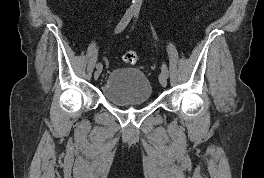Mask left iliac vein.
Instances as JSON below:
<instances>
[{"label": "left iliac vein", "instance_id": "1", "mask_svg": "<svg viewBox=\"0 0 264 178\" xmlns=\"http://www.w3.org/2000/svg\"><path fill=\"white\" fill-rule=\"evenodd\" d=\"M159 82L163 87L167 86V75L163 72L159 74Z\"/></svg>", "mask_w": 264, "mask_h": 178}]
</instances>
